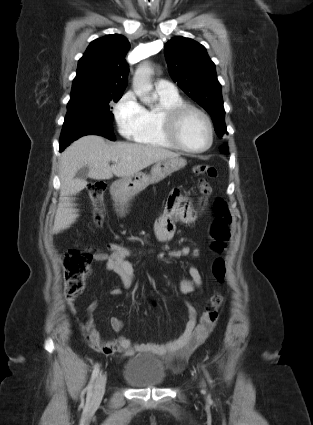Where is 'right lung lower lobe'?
Wrapping results in <instances>:
<instances>
[{"mask_svg": "<svg viewBox=\"0 0 313 425\" xmlns=\"http://www.w3.org/2000/svg\"><path fill=\"white\" fill-rule=\"evenodd\" d=\"M86 135L104 136L110 140H115L112 127L109 121L100 116L90 114H72L68 121H64L60 136V152L78 138Z\"/></svg>", "mask_w": 313, "mask_h": 425, "instance_id": "right-lung-lower-lobe-1", "label": "right lung lower lobe"}]
</instances>
